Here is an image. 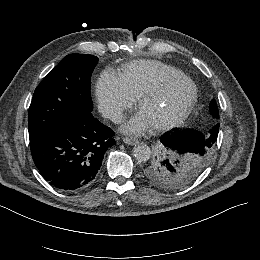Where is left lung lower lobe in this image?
<instances>
[{
  "instance_id": "left-lung-lower-lobe-1",
  "label": "left lung lower lobe",
  "mask_w": 260,
  "mask_h": 260,
  "mask_svg": "<svg viewBox=\"0 0 260 260\" xmlns=\"http://www.w3.org/2000/svg\"><path fill=\"white\" fill-rule=\"evenodd\" d=\"M218 132L219 124L215 125L206 134L194 129H177L165 133L160 140L163 145L175 154H201L214 146Z\"/></svg>"
}]
</instances>
